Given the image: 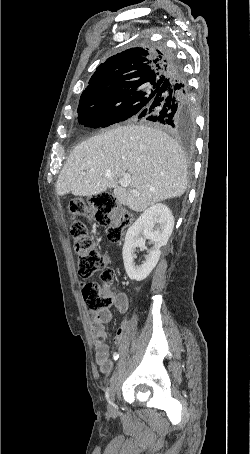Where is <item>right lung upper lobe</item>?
I'll list each match as a JSON object with an SVG mask.
<instances>
[{
    "label": "right lung upper lobe",
    "instance_id": "right-lung-upper-lobe-1",
    "mask_svg": "<svg viewBox=\"0 0 250 454\" xmlns=\"http://www.w3.org/2000/svg\"><path fill=\"white\" fill-rule=\"evenodd\" d=\"M171 66L163 49L135 47L111 56L97 67L83 91L79 105L113 100L149 83L160 86Z\"/></svg>",
    "mask_w": 250,
    "mask_h": 454
}]
</instances>
